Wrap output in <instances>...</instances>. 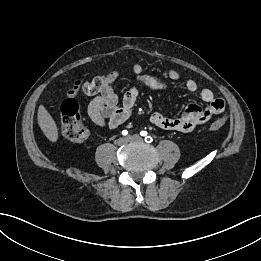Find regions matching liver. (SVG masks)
<instances>
[{
	"label": "liver",
	"mask_w": 261,
	"mask_h": 261,
	"mask_svg": "<svg viewBox=\"0 0 261 261\" xmlns=\"http://www.w3.org/2000/svg\"><path fill=\"white\" fill-rule=\"evenodd\" d=\"M37 116H38V124L42 132L44 133V135L51 142H56L58 139L57 125L54 119L52 118V116L49 114V112L46 110V108L43 105L39 106Z\"/></svg>",
	"instance_id": "6515ba94"
}]
</instances>
